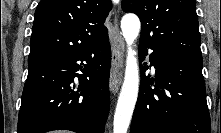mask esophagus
Wrapping results in <instances>:
<instances>
[{
	"mask_svg": "<svg viewBox=\"0 0 221 133\" xmlns=\"http://www.w3.org/2000/svg\"><path fill=\"white\" fill-rule=\"evenodd\" d=\"M125 44L118 26V16L114 18L110 90L116 93L121 85L124 70Z\"/></svg>",
	"mask_w": 221,
	"mask_h": 133,
	"instance_id": "esophagus-1",
	"label": "esophagus"
}]
</instances>
